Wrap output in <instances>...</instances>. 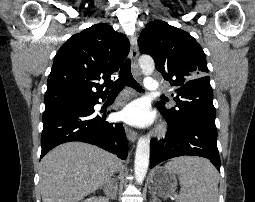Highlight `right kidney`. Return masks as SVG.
Instances as JSON below:
<instances>
[{
  "label": "right kidney",
  "mask_w": 255,
  "mask_h": 202,
  "mask_svg": "<svg viewBox=\"0 0 255 202\" xmlns=\"http://www.w3.org/2000/svg\"><path fill=\"white\" fill-rule=\"evenodd\" d=\"M83 202H107L105 198L102 197H90L84 200Z\"/></svg>",
  "instance_id": "right-kidney-1"
}]
</instances>
